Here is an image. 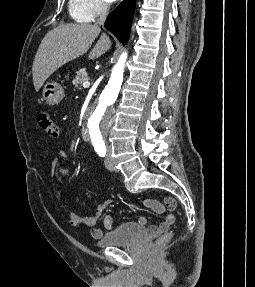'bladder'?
Here are the masks:
<instances>
[{
    "instance_id": "obj_1",
    "label": "bladder",
    "mask_w": 255,
    "mask_h": 287,
    "mask_svg": "<svg viewBox=\"0 0 255 287\" xmlns=\"http://www.w3.org/2000/svg\"><path fill=\"white\" fill-rule=\"evenodd\" d=\"M148 229L134 222H124L107 231L98 241L101 247L129 245L143 237Z\"/></svg>"
}]
</instances>
